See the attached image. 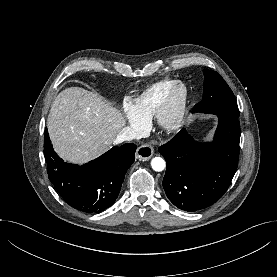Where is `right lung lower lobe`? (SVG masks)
Returning <instances> with one entry per match:
<instances>
[{
  "label": "right lung lower lobe",
  "mask_w": 277,
  "mask_h": 277,
  "mask_svg": "<svg viewBox=\"0 0 277 277\" xmlns=\"http://www.w3.org/2000/svg\"><path fill=\"white\" fill-rule=\"evenodd\" d=\"M136 148L133 143L115 146L79 166L64 163L54 152L47 129L44 136L49 179L70 206L85 213H100L114 203L125 173L134 162Z\"/></svg>",
  "instance_id": "1"
}]
</instances>
